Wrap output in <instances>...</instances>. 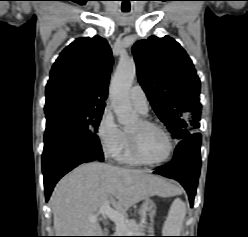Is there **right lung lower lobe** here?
Masks as SVG:
<instances>
[{"label": "right lung lower lobe", "mask_w": 248, "mask_h": 237, "mask_svg": "<svg viewBox=\"0 0 248 237\" xmlns=\"http://www.w3.org/2000/svg\"><path fill=\"white\" fill-rule=\"evenodd\" d=\"M42 170L46 201L58 180L81 163L103 161L97 135L61 129H46Z\"/></svg>", "instance_id": "right-lung-lower-lobe-1"}]
</instances>
